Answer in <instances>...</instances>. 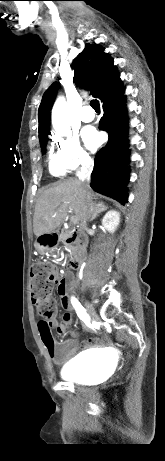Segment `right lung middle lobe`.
I'll list each match as a JSON object with an SVG mask.
<instances>
[{"label":"right lung middle lobe","mask_w":165,"mask_h":461,"mask_svg":"<svg viewBox=\"0 0 165 461\" xmlns=\"http://www.w3.org/2000/svg\"><path fill=\"white\" fill-rule=\"evenodd\" d=\"M47 135H48V133H46V134H44L43 136L39 137L42 150L45 149L46 142H47V139H48V138H47Z\"/></svg>","instance_id":"1"}]
</instances>
